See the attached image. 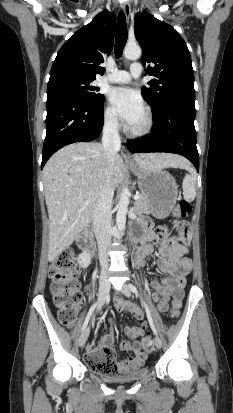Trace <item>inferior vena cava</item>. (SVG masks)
I'll list each match as a JSON object with an SVG mask.
<instances>
[{"mask_svg":"<svg viewBox=\"0 0 233 413\" xmlns=\"http://www.w3.org/2000/svg\"><path fill=\"white\" fill-rule=\"evenodd\" d=\"M102 146L108 158V168L106 171V182L101 191L93 211L94 232L98 243V255L102 268L105 273L108 268L107 249L111 243V203L114 195L112 183V166L117 152L121 147V140L118 133V121L116 118H107L104 122Z\"/></svg>","mask_w":233,"mask_h":413,"instance_id":"602c4592","label":"inferior vena cava"}]
</instances>
